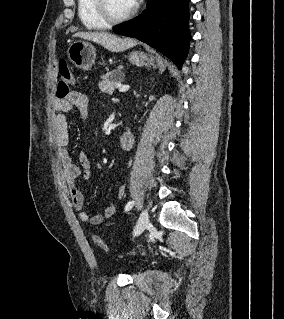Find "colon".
I'll list each match as a JSON object with an SVG mask.
<instances>
[{"mask_svg": "<svg viewBox=\"0 0 284 319\" xmlns=\"http://www.w3.org/2000/svg\"><path fill=\"white\" fill-rule=\"evenodd\" d=\"M59 81L57 85L58 98H65L71 92L72 85L74 83V75L69 65L65 61H61L58 67ZM93 242L100 248L109 251L110 248L107 243L99 236H93Z\"/></svg>", "mask_w": 284, "mask_h": 319, "instance_id": "5ec220e1", "label": "colon"}]
</instances>
